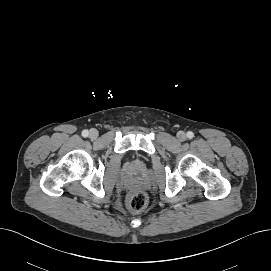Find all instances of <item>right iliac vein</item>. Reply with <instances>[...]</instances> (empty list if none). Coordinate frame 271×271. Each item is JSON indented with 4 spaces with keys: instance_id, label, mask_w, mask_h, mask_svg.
Segmentation results:
<instances>
[{
    "instance_id": "1",
    "label": "right iliac vein",
    "mask_w": 271,
    "mask_h": 271,
    "mask_svg": "<svg viewBox=\"0 0 271 271\" xmlns=\"http://www.w3.org/2000/svg\"><path fill=\"white\" fill-rule=\"evenodd\" d=\"M99 133L96 129H91L89 132V137L91 139H96L98 137Z\"/></svg>"
}]
</instances>
